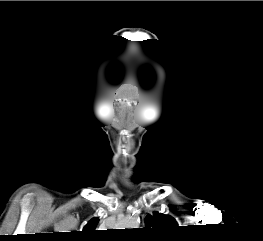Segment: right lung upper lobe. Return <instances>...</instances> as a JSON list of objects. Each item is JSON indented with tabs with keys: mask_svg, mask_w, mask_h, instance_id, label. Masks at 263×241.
<instances>
[{
	"mask_svg": "<svg viewBox=\"0 0 263 241\" xmlns=\"http://www.w3.org/2000/svg\"><path fill=\"white\" fill-rule=\"evenodd\" d=\"M99 222V218L95 217L92 218L88 223L84 226L82 232H81V238L84 240H94L97 237V234L95 233V228L97 227Z\"/></svg>",
	"mask_w": 263,
	"mask_h": 241,
	"instance_id": "obj_1",
	"label": "right lung upper lobe"
}]
</instances>
